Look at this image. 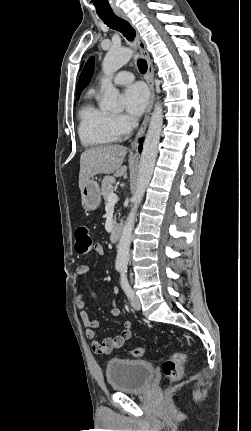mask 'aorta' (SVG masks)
Listing matches in <instances>:
<instances>
[{
    "instance_id": "762f6f07",
    "label": "aorta",
    "mask_w": 251,
    "mask_h": 431,
    "mask_svg": "<svg viewBox=\"0 0 251 431\" xmlns=\"http://www.w3.org/2000/svg\"><path fill=\"white\" fill-rule=\"evenodd\" d=\"M133 56V51L129 48H111L102 64L105 79L102 81L104 97L100 107L104 110H115L117 108L118 89L112 84V75L125 65ZM163 124V108L160 102H157L151 114L148 131L144 140L143 150L140 160L136 190L132 197L133 206L123 226L122 234L117 245L116 268L126 269L129 260V250L131 244L132 231L135 224V218L138 207L142 201L146 188L151 180L156 157L158 153V144L160 141L161 129Z\"/></svg>"
}]
</instances>
